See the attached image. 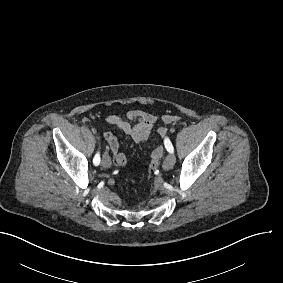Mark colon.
<instances>
[{"instance_id": "colon-1", "label": "colon", "mask_w": 283, "mask_h": 283, "mask_svg": "<svg viewBox=\"0 0 283 283\" xmlns=\"http://www.w3.org/2000/svg\"><path fill=\"white\" fill-rule=\"evenodd\" d=\"M165 140V133L161 132L158 144L162 145L163 141ZM164 153V150L162 147H156L151 155H150V163H149V174L150 176H155L158 173V165L160 163L161 157Z\"/></svg>"}]
</instances>
